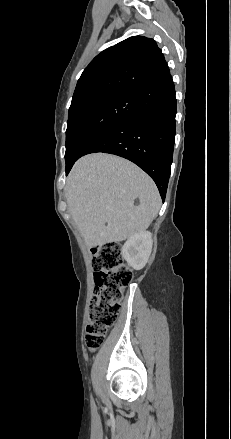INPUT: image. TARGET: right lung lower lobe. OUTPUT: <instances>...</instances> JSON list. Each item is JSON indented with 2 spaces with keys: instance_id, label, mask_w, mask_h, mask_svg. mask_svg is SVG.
<instances>
[{
  "instance_id": "right-lung-lower-lobe-1",
  "label": "right lung lower lobe",
  "mask_w": 231,
  "mask_h": 439,
  "mask_svg": "<svg viewBox=\"0 0 231 439\" xmlns=\"http://www.w3.org/2000/svg\"><path fill=\"white\" fill-rule=\"evenodd\" d=\"M134 95L139 110L94 135L78 158L94 152L124 157L151 176L164 200L176 130L177 103L171 75L143 87ZM75 161L66 166V175Z\"/></svg>"
}]
</instances>
